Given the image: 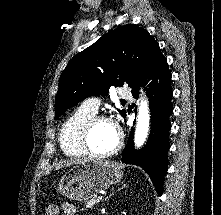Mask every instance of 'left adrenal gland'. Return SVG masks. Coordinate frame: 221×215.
<instances>
[{
  "label": "left adrenal gland",
  "mask_w": 221,
  "mask_h": 215,
  "mask_svg": "<svg viewBox=\"0 0 221 215\" xmlns=\"http://www.w3.org/2000/svg\"><path fill=\"white\" fill-rule=\"evenodd\" d=\"M126 187V185H123L120 189H118V191L119 190H121V189H123V188H125ZM114 193H112L110 196H112Z\"/></svg>",
  "instance_id": "left-adrenal-gland-1"
}]
</instances>
